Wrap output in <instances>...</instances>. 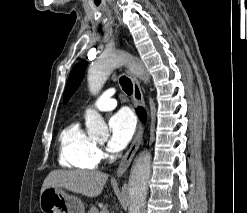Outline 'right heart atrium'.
<instances>
[{
  "mask_svg": "<svg viewBox=\"0 0 247 213\" xmlns=\"http://www.w3.org/2000/svg\"><path fill=\"white\" fill-rule=\"evenodd\" d=\"M97 155H98L99 160L105 157V154L102 152L101 149H97Z\"/></svg>",
  "mask_w": 247,
  "mask_h": 213,
  "instance_id": "obj_1",
  "label": "right heart atrium"
}]
</instances>
